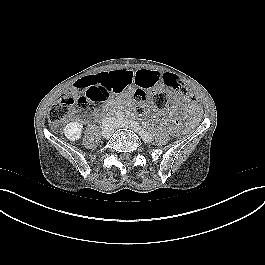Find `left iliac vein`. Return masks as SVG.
Instances as JSON below:
<instances>
[{
  "label": "left iliac vein",
  "mask_w": 265,
  "mask_h": 265,
  "mask_svg": "<svg viewBox=\"0 0 265 265\" xmlns=\"http://www.w3.org/2000/svg\"><path fill=\"white\" fill-rule=\"evenodd\" d=\"M115 128H129V129H132L133 131L140 133V130H141V126L136 123L135 121H132V120H119V121H116L115 122ZM143 140L147 143H150L153 141V138H148V139H144Z\"/></svg>",
  "instance_id": "4c4485c4"
}]
</instances>
